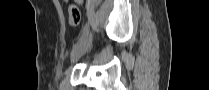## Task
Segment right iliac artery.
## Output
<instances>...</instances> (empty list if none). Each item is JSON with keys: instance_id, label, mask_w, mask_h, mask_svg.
<instances>
[{"instance_id": "1", "label": "right iliac artery", "mask_w": 209, "mask_h": 90, "mask_svg": "<svg viewBox=\"0 0 209 90\" xmlns=\"http://www.w3.org/2000/svg\"><path fill=\"white\" fill-rule=\"evenodd\" d=\"M88 32H89L88 25L86 24L82 30V33L78 42L75 44V46L72 49L71 55L81 47L86 37L88 36Z\"/></svg>"}]
</instances>
